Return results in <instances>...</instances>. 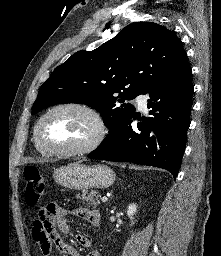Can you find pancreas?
Here are the masks:
<instances>
[{
    "label": "pancreas",
    "mask_w": 221,
    "mask_h": 256,
    "mask_svg": "<svg viewBox=\"0 0 221 256\" xmlns=\"http://www.w3.org/2000/svg\"><path fill=\"white\" fill-rule=\"evenodd\" d=\"M81 200L84 205L91 206L93 208L100 205L99 195L97 191H91L89 194L85 191L81 197Z\"/></svg>",
    "instance_id": "pancreas-1"
}]
</instances>
